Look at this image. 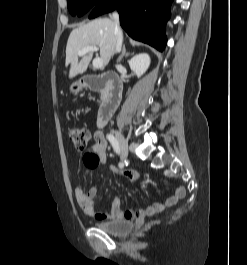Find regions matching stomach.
<instances>
[{"instance_id":"obj_1","label":"stomach","mask_w":247,"mask_h":265,"mask_svg":"<svg viewBox=\"0 0 247 265\" xmlns=\"http://www.w3.org/2000/svg\"><path fill=\"white\" fill-rule=\"evenodd\" d=\"M83 88L84 84L81 81H77L70 86V92L73 94H78Z\"/></svg>"}]
</instances>
